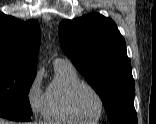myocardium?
Returning a JSON list of instances; mask_svg holds the SVG:
<instances>
[{
  "mask_svg": "<svg viewBox=\"0 0 156 124\" xmlns=\"http://www.w3.org/2000/svg\"><path fill=\"white\" fill-rule=\"evenodd\" d=\"M82 89H88L90 91H92L99 99L100 104H101V111L100 114L93 120H88L85 117H83V115L79 112L77 105H76V98L78 93L82 90ZM68 104L70 107L71 112L73 113V115L79 119L80 121L84 122V123H94L99 121L104 113H105V109H106V103H105V99L102 96V94L92 85L85 83V82H80L76 85H74L71 90L69 91L68 94Z\"/></svg>",
  "mask_w": 156,
  "mask_h": 124,
  "instance_id": "myocardium-1",
  "label": "myocardium"
}]
</instances>
